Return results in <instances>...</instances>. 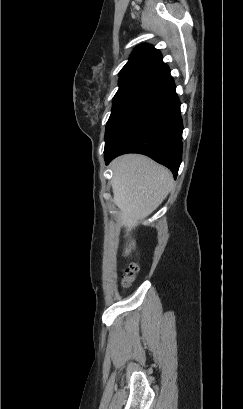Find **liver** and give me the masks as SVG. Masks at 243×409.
<instances>
[{
	"label": "liver",
	"instance_id": "obj_1",
	"mask_svg": "<svg viewBox=\"0 0 243 409\" xmlns=\"http://www.w3.org/2000/svg\"><path fill=\"white\" fill-rule=\"evenodd\" d=\"M111 168L113 202L120 210L125 237H129L165 200L173 188V176L166 167L139 154L120 156L111 163ZM135 248L136 241L130 239L124 256Z\"/></svg>",
	"mask_w": 243,
	"mask_h": 409
}]
</instances>
